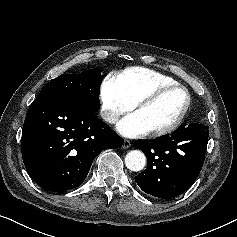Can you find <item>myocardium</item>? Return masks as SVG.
I'll use <instances>...</instances> for the list:
<instances>
[{"instance_id": "myocardium-1", "label": "myocardium", "mask_w": 237, "mask_h": 237, "mask_svg": "<svg viewBox=\"0 0 237 237\" xmlns=\"http://www.w3.org/2000/svg\"><path fill=\"white\" fill-rule=\"evenodd\" d=\"M174 89H180L182 90L185 95H186V102L181 110V112L177 115V117L167 126L154 129V130H149L148 134L150 136H162L171 133L174 131L180 123L183 121L184 117L186 116L190 105H191V94L188 91V89L179 84V83H173V84H166V85H161L154 90H152L150 93L147 95L143 96L141 99H139L135 104H134V109L137 111L138 109L142 108L143 106L152 103L153 101L157 100L161 95L164 93L174 90Z\"/></svg>"}]
</instances>
